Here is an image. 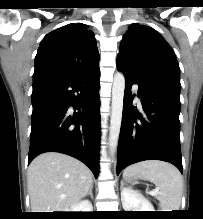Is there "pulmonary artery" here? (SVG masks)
Wrapping results in <instances>:
<instances>
[{
    "mask_svg": "<svg viewBox=\"0 0 203 219\" xmlns=\"http://www.w3.org/2000/svg\"><path fill=\"white\" fill-rule=\"evenodd\" d=\"M134 90L137 91V87L136 86H134Z\"/></svg>",
    "mask_w": 203,
    "mask_h": 219,
    "instance_id": "e3ab8cb5",
    "label": "pulmonary artery"
}]
</instances>
